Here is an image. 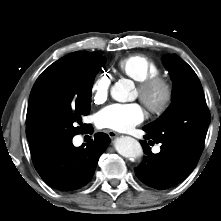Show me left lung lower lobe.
Segmentation results:
<instances>
[{"mask_svg":"<svg viewBox=\"0 0 221 221\" xmlns=\"http://www.w3.org/2000/svg\"><path fill=\"white\" fill-rule=\"evenodd\" d=\"M143 130L147 133L144 138L151 139L148 130L145 127ZM140 143L145 157L134 170L144 184L155 189L164 190L180 183L192 172L201 155L184 145L170 142H161V151L153 154L146 141Z\"/></svg>","mask_w":221,"mask_h":221,"instance_id":"0a47b994","label":"left lung lower lobe"}]
</instances>
